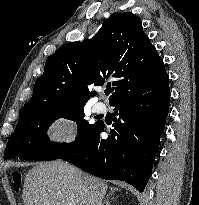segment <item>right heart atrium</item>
Masks as SVG:
<instances>
[{
    "label": "right heart atrium",
    "instance_id": "d8ad5b80",
    "mask_svg": "<svg viewBox=\"0 0 199 205\" xmlns=\"http://www.w3.org/2000/svg\"><path fill=\"white\" fill-rule=\"evenodd\" d=\"M44 137L51 144H72L77 138L76 123L69 115H57L45 128Z\"/></svg>",
    "mask_w": 199,
    "mask_h": 205
}]
</instances>
